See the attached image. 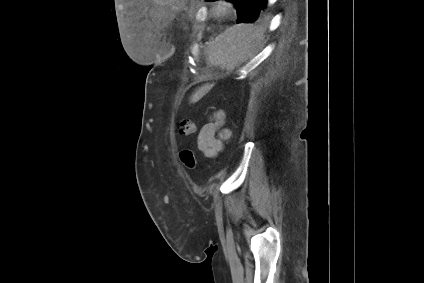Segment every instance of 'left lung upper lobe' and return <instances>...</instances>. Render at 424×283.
Instances as JSON below:
<instances>
[{
    "label": "left lung upper lobe",
    "instance_id": "left-lung-upper-lobe-1",
    "mask_svg": "<svg viewBox=\"0 0 424 283\" xmlns=\"http://www.w3.org/2000/svg\"><path fill=\"white\" fill-rule=\"evenodd\" d=\"M215 1V0H206ZM234 3L238 13V23H252L262 18L265 12H261V6L265 0H228Z\"/></svg>",
    "mask_w": 424,
    "mask_h": 283
}]
</instances>
